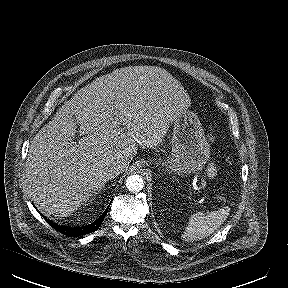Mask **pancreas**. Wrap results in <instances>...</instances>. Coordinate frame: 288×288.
<instances>
[{
	"label": "pancreas",
	"mask_w": 288,
	"mask_h": 288,
	"mask_svg": "<svg viewBox=\"0 0 288 288\" xmlns=\"http://www.w3.org/2000/svg\"><path fill=\"white\" fill-rule=\"evenodd\" d=\"M213 168H214V164L210 163L208 166V172H211Z\"/></svg>",
	"instance_id": "obj_1"
}]
</instances>
